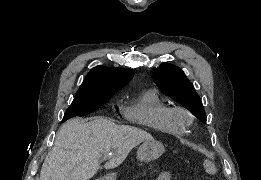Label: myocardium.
Instances as JSON below:
<instances>
[{"label": "myocardium", "instance_id": "f54148a6", "mask_svg": "<svg viewBox=\"0 0 261 180\" xmlns=\"http://www.w3.org/2000/svg\"><path fill=\"white\" fill-rule=\"evenodd\" d=\"M166 118L171 124L184 126L191 121L189 111L182 106L170 107L166 112Z\"/></svg>", "mask_w": 261, "mask_h": 180}]
</instances>
